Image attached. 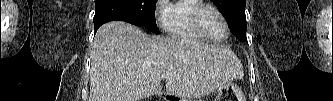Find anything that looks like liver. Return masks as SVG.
I'll list each match as a JSON object with an SVG mask.
<instances>
[{
    "label": "liver",
    "instance_id": "6515ba94",
    "mask_svg": "<svg viewBox=\"0 0 333 101\" xmlns=\"http://www.w3.org/2000/svg\"><path fill=\"white\" fill-rule=\"evenodd\" d=\"M166 91L197 99L243 77L238 57L219 45L182 37L148 36L122 21L99 28L93 42L89 101H140Z\"/></svg>",
    "mask_w": 333,
    "mask_h": 101
}]
</instances>
